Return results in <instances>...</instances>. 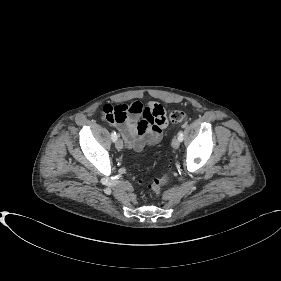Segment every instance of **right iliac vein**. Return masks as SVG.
<instances>
[{
  "mask_svg": "<svg viewBox=\"0 0 281 281\" xmlns=\"http://www.w3.org/2000/svg\"><path fill=\"white\" fill-rule=\"evenodd\" d=\"M115 147L117 150H121L123 148V142L121 139H117L115 142Z\"/></svg>",
  "mask_w": 281,
  "mask_h": 281,
  "instance_id": "right-iliac-vein-1",
  "label": "right iliac vein"
}]
</instances>
